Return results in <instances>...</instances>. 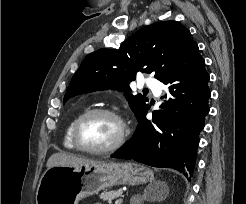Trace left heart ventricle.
Instances as JSON below:
<instances>
[{"mask_svg": "<svg viewBox=\"0 0 246 204\" xmlns=\"http://www.w3.org/2000/svg\"><path fill=\"white\" fill-rule=\"evenodd\" d=\"M119 133L115 119L107 115H94L84 121L80 128L79 139L87 148H104L112 144Z\"/></svg>", "mask_w": 246, "mask_h": 204, "instance_id": "b2bd125f", "label": "left heart ventricle"}]
</instances>
